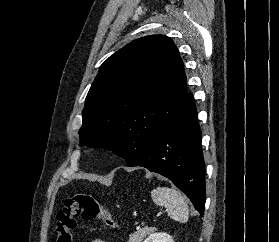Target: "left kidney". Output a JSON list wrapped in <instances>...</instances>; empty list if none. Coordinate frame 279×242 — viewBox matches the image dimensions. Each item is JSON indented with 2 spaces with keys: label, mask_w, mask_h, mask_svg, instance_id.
I'll use <instances>...</instances> for the list:
<instances>
[{
  "label": "left kidney",
  "mask_w": 279,
  "mask_h": 242,
  "mask_svg": "<svg viewBox=\"0 0 279 242\" xmlns=\"http://www.w3.org/2000/svg\"><path fill=\"white\" fill-rule=\"evenodd\" d=\"M144 242H174L172 237L167 233H152L144 240Z\"/></svg>",
  "instance_id": "left-kidney-1"
}]
</instances>
